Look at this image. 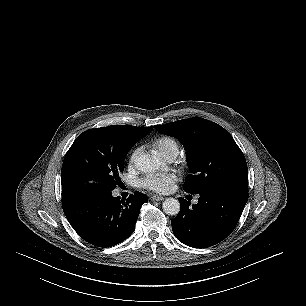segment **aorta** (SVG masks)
I'll return each instance as SVG.
<instances>
[{"label": "aorta", "mask_w": 306, "mask_h": 306, "mask_svg": "<svg viewBox=\"0 0 306 306\" xmlns=\"http://www.w3.org/2000/svg\"><path fill=\"white\" fill-rule=\"evenodd\" d=\"M161 165L162 161L160 158L154 155L143 154L137 159V167L144 173H155ZM162 208L168 215H177L180 211V202L177 199L170 197L165 199Z\"/></svg>", "instance_id": "obj_1"}]
</instances>
